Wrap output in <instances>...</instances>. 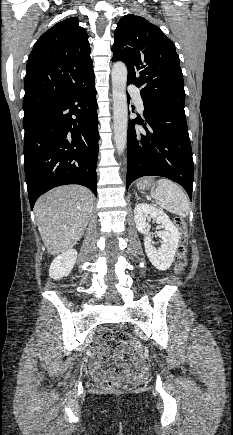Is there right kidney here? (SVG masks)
<instances>
[{"label": "right kidney", "instance_id": "obj_1", "mask_svg": "<svg viewBox=\"0 0 233 435\" xmlns=\"http://www.w3.org/2000/svg\"><path fill=\"white\" fill-rule=\"evenodd\" d=\"M77 259V251L69 249L57 256L49 268V276L55 280L68 276Z\"/></svg>", "mask_w": 233, "mask_h": 435}]
</instances>
